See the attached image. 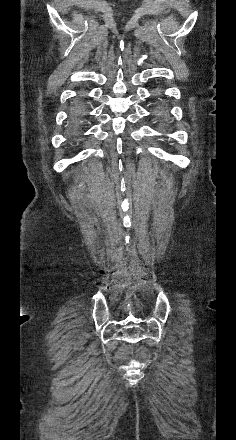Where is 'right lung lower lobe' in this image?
Here are the masks:
<instances>
[{"instance_id":"right-lung-lower-lobe-1","label":"right lung lower lobe","mask_w":236,"mask_h":440,"mask_svg":"<svg viewBox=\"0 0 236 440\" xmlns=\"http://www.w3.org/2000/svg\"><path fill=\"white\" fill-rule=\"evenodd\" d=\"M79 109H80V107H76V108H74V110H72L71 122H72L73 125H75L81 119V117H82V115H80L78 113Z\"/></svg>"}]
</instances>
